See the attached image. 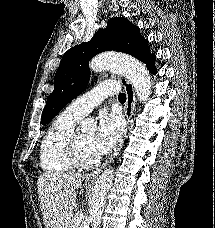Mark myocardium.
Returning a JSON list of instances; mask_svg holds the SVG:
<instances>
[{"label":"myocardium","instance_id":"f54148a6","mask_svg":"<svg viewBox=\"0 0 215 228\" xmlns=\"http://www.w3.org/2000/svg\"><path fill=\"white\" fill-rule=\"evenodd\" d=\"M65 153L69 161L78 168H93L100 163V158L97 157L93 160L85 159L79 147V141L77 131H73L71 135L66 139L64 144Z\"/></svg>","mask_w":215,"mask_h":228}]
</instances>
